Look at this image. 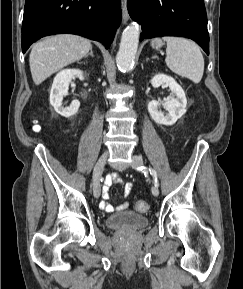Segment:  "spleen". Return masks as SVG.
<instances>
[{"instance_id":"1","label":"spleen","mask_w":243,"mask_h":289,"mask_svg":"<svg viewBox=\"0 0 243 289\" xmlns=\"http://www.w3.org/2000/svg\"><path fill=\"white\" fill-rule=\"evenodd\" d=\"M167 43L166 65L175 74L199 83L204 72V59L199 47L182 37H164Z\"/></svg>"}]
</instances>
